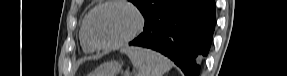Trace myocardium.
Masks as SVG:
<instances>
[{
  "label": "myocardium",
  "mask_w": 287,
  "mask_h": 76,
  "mask_svg": "<svg viewBox=\"0 0 287 76\" xmlns=\"http://www.w3.org/2000/svg\"><path fill=\"white\" fill-rule=\"evenodd\" d=\"M111 5H121V6L128 8L134 14L136 18V24L134 28L127 35L123 36L117 41L108 43V44L98 43L93 39L91 32H90V23H91L92 16L98 10L104 7H107V6H111ZM144 25H145L144 15L135 4L127 0H109V1H105V2L98 4L88 13L84 21V30H85V35H86L87 40L95 49L109 50V49L118 48L121 45L128 43L134 38H136L142 32Z\"/></svg>",
  "instance_id": "f54148a6"
}]
</instances>
